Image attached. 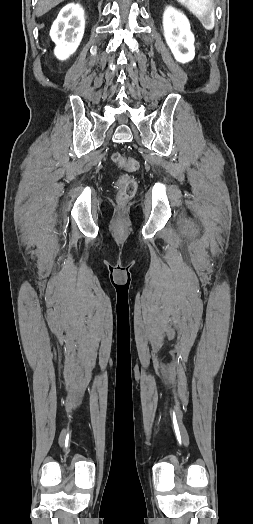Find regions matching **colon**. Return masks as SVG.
<instances>
[{
    "label": "colon",
    "mask_w": 253,
    "mask_h": 524,
    "mask_svg": "<svg viewBox=\"0 0 253 524\" xmlns=\"http://www.w3.org/2000/svg\"><path fill=\"white\" fill-rule=\"evenodd\" d=\"M112 161L115 165L127 171H134L138 168V162L135 159L125 158L120 153H114ZM117 186L119 189L118 199L121 202L131 199L137 190L136 180L128 174H124L119 178Z\"/></svg>",
    "instance_id": "colon-1"
}]
</instances>
